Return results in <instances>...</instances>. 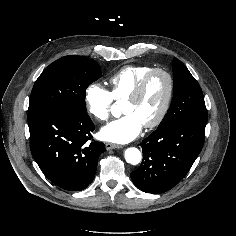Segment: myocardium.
<instances>
[{
    "label": "myocardium",
    "mask_w": 236,
    "mask_h": 236,
    "mask_svg": "<svg viewBox=\"0 0 236 236\" xmlns=\"http://www.w3.org/2000/svg\"><path fill=\"white\" fill-rule=\"evenodd\" d=\"M158 73L164 75L166 78V81H167L166 97H165L163 106L160 112L158 113V115L156 116V118L144 124L146 128H154L160 125L169 111V108L173 99V94H174V79H173L172 74L167 69L162 68V67L152 68L142 77V79L139 81V83L134 88L132 93L126 98V101L138 100L142 96L151 77Z\"/></svg>",
    "instance_id": "myocardium-1"
}]
</instances>
